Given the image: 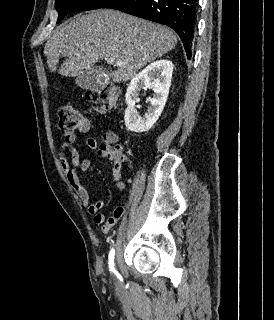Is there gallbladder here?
Returning a JSON list of instances; mask_svg holds the SVG:
<instances>
[{
    "label": "gallbladder",
    "instance_id": "obj_1",
    "mask_svg": "<svg viewBox=\"0 0 274 320\" xmlns=\"http://www.w3.org/2000/svg\"><path fill=\"white\" fill-rule=\"evenodd\" d=\"M112 78V72L93 66V68H81L75 84L82 90H101V85H109Z\"/></svg>",
    "mask_w": 274,
    "mask_h": 320
}]
</instances>
